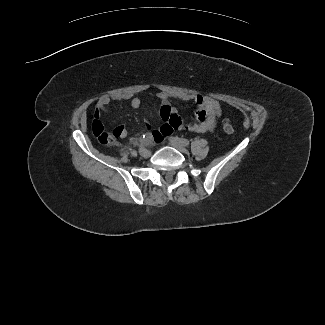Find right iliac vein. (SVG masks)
Masks as SVG:
<instances>
[{
    "label": "right iliac vein",
    "instance_id": "right-iliac-vein-1",
    "mask_svg": "<svg viewBox=\"0 0 325 325\" xmlns=\"http://www.w3.org/2000/svg\"><path fill=\"white\" fill-rule=\"evenodd\" d=\"M140 155L145 158H148V157H150L151 152L149 150L145 149L144 151L140 152Z\"/></svg>",
    "mask_w": 325,
    "mask_h": 325
}]
</instances>
